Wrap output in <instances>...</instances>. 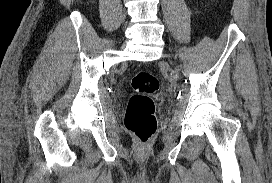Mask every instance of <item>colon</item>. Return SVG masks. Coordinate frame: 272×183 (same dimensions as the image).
<instances>
[{"label":"colon","instance_id":"colon-1","mask_svg":"<svg viewBox=\"0 0 272 183\" xmlns=\"http://www.w3.org/2000/svg\"><path fill=\"white\" fill-rule=\"evenodd\" d=\"M132 88L135 93L129 99L124 123L137 142L146 145L157 128L152 95L159 89V80L149 71H140L132 78Z\"/></svg>","mask_w":272,"mask_h":183}]
</instances>
